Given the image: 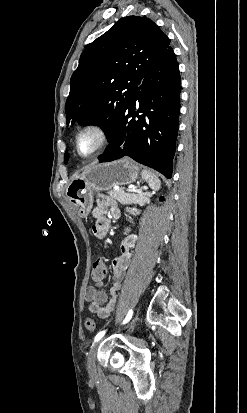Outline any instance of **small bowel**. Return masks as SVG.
Returning <instances> with one entry per match:
<instances>
[{"label": "small bowel", "instance_id": "obj_1", "mask_svg": "<svg viewBox=\"0 0 247 413\" xmlns=\"http://www.w3.org/2000/svg\"><path fill=\"white\" fill-rule=\"evenodd\" d=\"M107 213L108 216H106ZM92 216L95 219L93 232L98 237H103L107 234L110 228V219H116L120 216V209L117 202L112 197L101 194L97 197V204L92 211ZM136 241V235L128 232L126 233V236L120 245L121 256L116 258L111 264L113 284L109 296L103 290H99L95 287L86 288L85 300L89 302L88 310L90 313L96 314L102 319H106L110 316L115 307L116 294L122 287L125 272L130 265L132 258L131 249L135 246ZM104 279L105 277H98V280L95 283L98 286H102Z\"/></svg>", "mask_w": 247, "mask_h": 413}]
</instances>
